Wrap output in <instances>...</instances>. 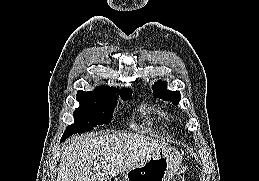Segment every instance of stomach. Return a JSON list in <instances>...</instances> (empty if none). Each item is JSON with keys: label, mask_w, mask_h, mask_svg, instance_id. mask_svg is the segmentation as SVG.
Wrapping results in <instances>:
<instances>
[{"label": "stomach", "mask_w": 259, "mask_h": 181, "mask_svg": "<svg viewBox=\"0 0 259 181\" xmlns=\"http://www.w3.org/2000/svg\"><path fill=\"white\" fill-rule=\"evenodd\" d=\"M182 162L173 148L160 150L148 159L123 173L122 181H170Z\"/></svg>", "instance_id": "0dacf381"}]
</instances>
